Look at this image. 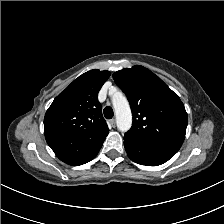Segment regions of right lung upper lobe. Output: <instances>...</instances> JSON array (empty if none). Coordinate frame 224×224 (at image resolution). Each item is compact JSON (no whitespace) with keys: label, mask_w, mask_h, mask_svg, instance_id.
Masks as SVG:
<instances>
[{"label":"right lung upper lobe","mask_w":224,"mask_h":224,"mask_svg":"<svg viewBox=\"0 0 224 224\" xmlns=\"http://www.w3.org/2000/svg\"><path fill=\"white\" fill-rule=\"evenodd\" d=\"M109 71L90 70L75 79L52 102L44 117V131H55L98 142L109 133L98 92Z\"/></svg>","instance_id":"1"}]
</instances>
